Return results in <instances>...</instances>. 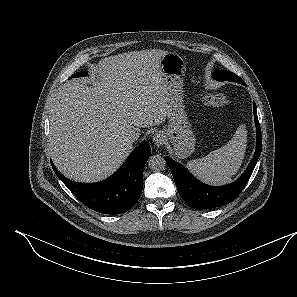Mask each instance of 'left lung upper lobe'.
<instances>
[{
	"label": "left lung upper lobe",
	"instance_id": "1",
	"mask_svg": "<svg viewBox=\"0 0 297 297\" xmlns=\"http://www.w3.org/2000/svg\"><path fill=\"white\" fill-rule=\"evenodd\" d=\"M213 77L218 81H232L245 85L244 81L233 72L217 70Z\"/></svg>",
	"mask_w": 297,
	"mask_h": 297
}]
</instances>
